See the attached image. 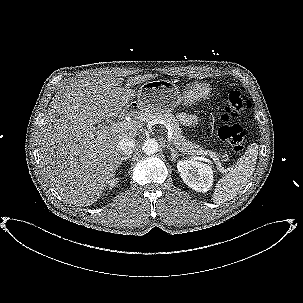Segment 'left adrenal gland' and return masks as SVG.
I'll list each match as a JSON object with an SVG mask.
<instances>
[{"instance_id": "obj_1", "label": "left adrenal gland", "mask_w": 303, "mask_h": 303, "mask_svg": "<svg viewBox=\"0 0 303 303\" xmlns=\"http://www.w3.org/2000/svg\"><path fill=\"white\" fill-rule=\"evenodd\" d=\"M167 148L170 150L172 159L175 160V158L178 156V153L176 150H174L172 147H170V145H167Z\"/></svg>"}]
</instances>
